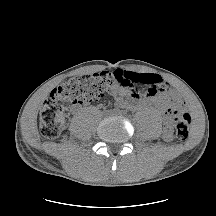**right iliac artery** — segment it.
<instances>
[{
	"mask_svg": "<svg viewBox=\"0 0 216 216\" xmlns=\"http://www.w3.org/2000/svg\"><path fill=\"white\" fill-rule=\"evenodd\" d=\"M116 111H118V110H117V109H114V110H113V112H116Z\"/></svg>",
	"mask_w": 216,
	"mask_h": 216,
	"instance_id": "82829eb1",
	"label": "right iliac artery"
}]
</instances>
